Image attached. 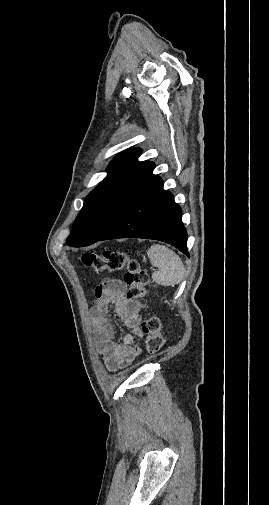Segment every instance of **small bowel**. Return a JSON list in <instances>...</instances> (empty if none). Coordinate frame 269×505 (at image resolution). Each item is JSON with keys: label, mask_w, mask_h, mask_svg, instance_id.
Instances as JSON below:
<instances>
[{"label": "small bowel", "mask_w": 269, "mask_h": 505, "mask_svg": "<svg viewBox=\"0 0 269 505\" xmlns=\"http://www.w3.org/2000/svg\"><path fill=\"white\" fill-rule=\"evenodd\" d=\"M95 305L91 308L93 336L100 356L106 368L115 372L128 367L139 355L140 349L133 345V336L142 337L138 302L125 296V285L117 278H108L94 288ZM116 315L128 327L132 334H127L121 344L113 341L114 328L108 319L110 306Z\"/></svg>", "instance_id": "obj_1"}]
</instances>
